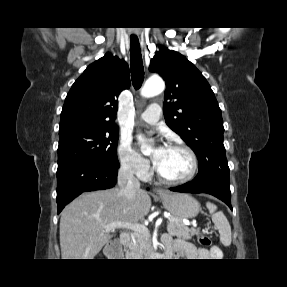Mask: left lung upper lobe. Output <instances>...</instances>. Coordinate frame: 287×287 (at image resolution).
<instances>
[{
    "mask_svg": "<svg viewBox=\"0 0 287 287\" xmlns=\"http://www.w3.org/2000/svg\"><path fill=\"white\" fill-rule=\"evenodd\" d=\"M149 70L166 82L163 112L167 125L198 158L199 172L193 181L229 182L221 110L205 77L186 57L164 47L151 59Z\"/></svg>",
    "mask_w": 287,
    "mask_h": 287,
    "instance_id": "1",
    "label": "left lung upper lobe"
}]
</instances>
